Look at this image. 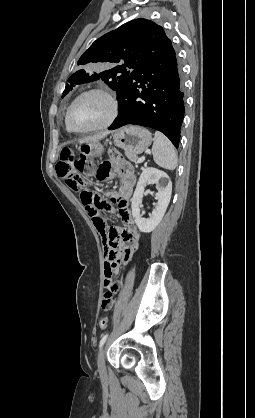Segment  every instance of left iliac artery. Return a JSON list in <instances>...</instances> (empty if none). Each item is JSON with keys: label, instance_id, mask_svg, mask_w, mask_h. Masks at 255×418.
Returning a JSON list of instances; mask_svg holds the SVG:
<instances>
[{"label": "left iliac artery", "instance_id": "left-iliac-artery-1", "mask_svg": "<svg viewBox=\"0 0 255 418\" xmlns=\"http://www.w3.org/2000/svg\"><path fill=\"white\" fill-rule=\"evenodd\" d=\"M107 337H108V334H105L103 337H102V339L100 340V343H99V349H101L102 348V346L104 345V343L106 342V340H107Z\"/></svg>", "mask_w": 255, "mask_h": 418}]
</instances>
